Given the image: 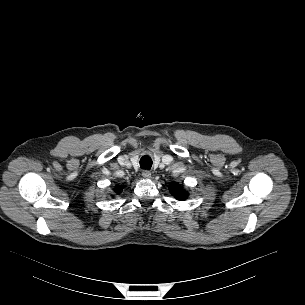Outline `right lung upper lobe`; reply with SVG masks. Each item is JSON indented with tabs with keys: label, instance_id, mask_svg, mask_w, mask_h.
<instances>
[{
	"label": "right lung upper lobe",
	"instance_id": "cb5924a9",
	"mask_svg": "<svg viewBox=\"0 0 305 305\" xmlns=\"http://www.w3.org/2000/svg\"><path fill=\"white\" fill-rule=\"evenodd\" d=\"M122 188H123V186H117L114 190L116 193H119Z\"/></svg>",
	"mask_w": 305,
	"mask_h": 305
}]
</instances>
